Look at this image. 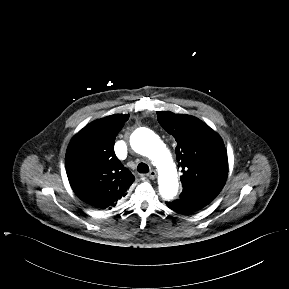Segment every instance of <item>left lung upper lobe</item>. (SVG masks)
Wrapping results in <instances>:
<instances>
[{
    "instance_id": "left-lung-upper-lobe-1",
    "label": "left lung upper lobe",
    "mask_w": 289,
    "mask_h": 289,
    "mask_svg": "<svg viewBox=\"0 0 289 289\" xmlns=\"http://www.w3.org/2000/svg\"><path fill=\"white\" fill-rule=\"evenodd\" d=\"M160 125L172 135L183 191L180 198L209 204L222 190L228 173V158L221 137L191 115L158 111Z\"/></svg>"
}]
</instances>
